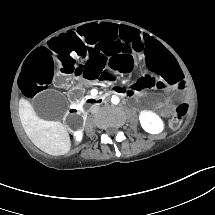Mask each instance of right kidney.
I'll return each instance as SVG.
<instances>
[{"label":"right kidney","mask_w":215,"mask_h":215,"mask_svg":"<svg viewBox=\"0 0 215 215\" xmlns=\"http://www.w3.org/2000/svg\"><path fill=\"white\" fill-rule=\"evenodd\" d=\"M81 139H82V132H81V131H78V132H77V135H76V140H77V141H81Z\"/></svg>","instance_id":"right-kidney-1"}]
</instances>
